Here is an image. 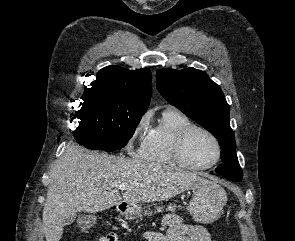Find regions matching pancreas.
Here are the masks:
<instances>
[{
    "instance_id": "pancreas-1",
    "label": "pancreas",
    "mask_w": 295,
    "mask_h": 241,
    "mask_svg": "<svg viewBox=\"0 0 295 241\" xmlns=\"http://www.w3.org/2000/svg\"><path fill=\"white\" fill-rule=\"evenodd\" d=\"M176 209H177L176 204H170L169 206H167L166 211L174 212ZM163 211H164V207L159 206V207L156 208L155 212L162 213ZM144 214L147 215V216H150V215H152V211H145ZM140 219H142V215L140 216Z\"/></svg>"
}]
</instances>
